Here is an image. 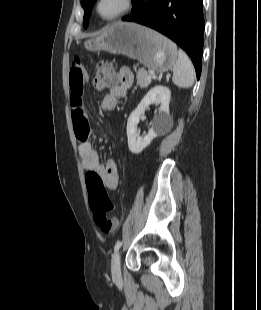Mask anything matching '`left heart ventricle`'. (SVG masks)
<instances>
[{"label":"left heart ventricle","instance_id":"left-heart-ventricle-1","mask_svg":"<svg viewBox=\"0 0 261 310\" xmlns=\"http://www.w3.org/2000/svg\"><path fill=\"white\" fill-rule=\"evenodd\" d=\"M121 6V0H103L100 11L103 15H112Z\"/></svg>","mask_w":261,"mask_h":310}]
</instances>
